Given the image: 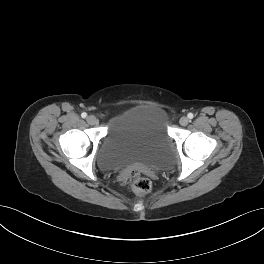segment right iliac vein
Returning a JSON list of instances; mask_svg holds the SVG:
<instances>
[{
    "instance_id": "right-iliac-vein-1",
    "label": "right iliac vein",
    "mask_w": 264,
    "mask_h": 264,
    "mask_svg": "<svg viewBox=\"0 0 264 264\" xmlns=\"http://www.w3.org/2000/svg\"><path fill=\"white\" fill-rule=\"evenodd\" d=\"M86 120L90 125H94L97 123V118L94 115L88 116Z\"/></svg>"
}]
</instances>
